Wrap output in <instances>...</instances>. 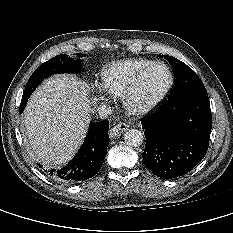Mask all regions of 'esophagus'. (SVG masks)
Masks as SVG:
<instances>
[{
    "label": "esophagus",
    "instance_id": "esophagus-1",
    "mask_svg": "<svg viewBox=\"0 0 233 233\" xmlns=\"http://www.w3.org/2000/svg\"><path fill=\"white\" fill-rule=\"evenodd\" d=\"M129 128V126L126 123H117L114 125V127L110 130L111 136H116L122 131H126Z\"/></svg>",
    "mask_w": 233,
    "mask_h": 233
}]
</instances>
